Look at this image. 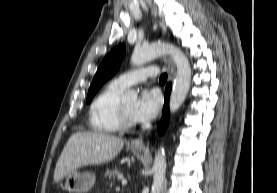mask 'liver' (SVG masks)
<instances>
[{
  "label": "liver",
  "instance_id": "1",
  "mask_svg": "<svg viewBox=\"0 0 277 193\" xmlns=\"http://www.w3.org/2000/svg\"><path fill=\"white\" fill-rule=\"evenodd\" d=\"M124 146L121 138L100 132H77L66 143L55 167L54 182L78 168L113 160Z\"/></svg>",
  "mask_w": 277,
  "mask_h": 193
}]
</instances>
